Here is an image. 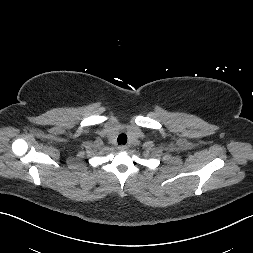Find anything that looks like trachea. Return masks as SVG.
Returning <instances> with one entry per match:
<instances>
[{
  "label": "trachea",
  "mask_w": 253,
  "mask_h": 253,
  "mask_svg": "<svg viewBox=\"0 0 253 253\" xmlns=\"http://www.w3.org/2000/svg\"><path fill=\"white\" fill-rule=\"evenodd\" d=\"M117 141H118V144H119V145H124V144H126V143H127V135L124 134V133L120 134V135L118 136V138H117Z\"/></svg>",
  "instance_id": "trachea-1"
}]
</instances>
